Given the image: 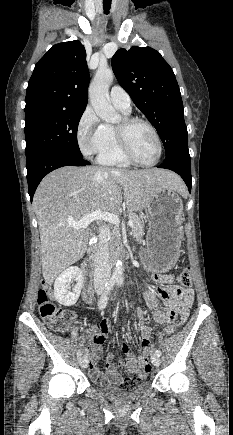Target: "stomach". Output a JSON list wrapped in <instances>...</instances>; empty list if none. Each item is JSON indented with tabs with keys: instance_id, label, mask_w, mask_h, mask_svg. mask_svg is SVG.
Instances as JSON below:
<instances>
[{
	"instance_id": "obj_1",
	"label": "stomach",
	"mask_w": 233,
	"mask_h": 435,
	"mask_svg": "<svg viewBox=\"0 0 233 435\" xmlns=\"http://www.w3.org/2000/svg\"><path fill=\"white\" fill-rule=\"evenodd\" d=\"M144 209L149 228L142 260L149 271L166 273L175 266L180 254L182 199L175 190L162 188Z\"/></svg>"
}]
</instances>
